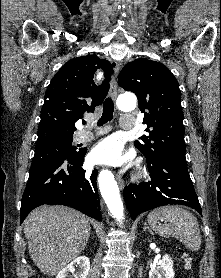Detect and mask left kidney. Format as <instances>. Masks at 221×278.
Wrapping results in <instances>:
<instances>
[{"label": "left kidney", "instance_id": "obj_1", "mask_svg": "<svg viewBox=\"0 0 221 278\" xmlns=\"http://www.w3.org/2000/svg\"><path fill=\"white\" fill-rule=\"evenodd\" d=\"M174 275L173 260L167 254L149 271V278H174Z\"/></svg>", "mask_w": 221, "mask_h": 278}]
</instances>
